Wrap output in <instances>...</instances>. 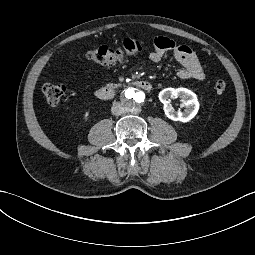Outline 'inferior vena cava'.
Instances as JSON below:
<instances>
[{
  "label": "inferior vena cava",
  "mask_w": 255,
  "mask_h": 255,
  "mask_svg": "<svg viewBox=\"0 0 255 255\" xmlns=\"http://www.w3.org/2000/svg\"><path fill=\"white\" fill-rule=\"evenodd\" d=\"M111 111L114 115H121L125 113V108L120 102H114Z\"/></svg>",
  "instance_id": "602c4592"
}]
</instances>
